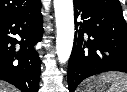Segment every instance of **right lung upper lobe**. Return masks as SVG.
<instances>
[{
  "label": "right lung upper lobe",
  "instance_id": "right-lung-upper-lobe-1",
  "mask_svg": "<svg viewBox=\"0 0 127 92\" xmlns=\"http://www.w3.org/2000/svg\"><path fill=\"white\" fill-rule=\"evenodd\" d=\"M40 0H0V18L34 9Z\"/></svg>",
  "mask_w": 127,
  "mask_h": 92
}]
</instances>
